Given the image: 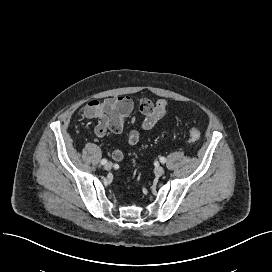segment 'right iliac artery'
<instances>
[{
    "mask_svg": "<svg viewBox=\"0 0 272 272\" xmlns=\"http://www.w3.org/2000/svg\"><path fill=\"white\" fill-rule=\"evenodd\" d=\"M106 163H107V160H106V159H102V160H101V164H102V165H104V164H106Z\"/></svg>",
    "mask_w": 272,
    "mask_h": 272,
    "instance_id": "82829eb1",
    "label": "right iliac artery"
}]
</instances>
